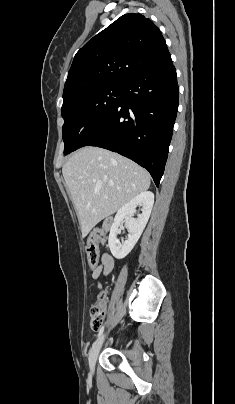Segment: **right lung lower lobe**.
Listing matches in <instances>:
<instances>
[{"instance_id":"right-lung-lower-lobe-1","label":"right lung lower lobe","mask_w":235,"mask_h":404,"mask_svg":"<svg viewBox=\"0 0 235 404\" xmlns=\"http://www.w3.org/2000/svg\"><path fill=\"white\" fill-rule=\"evenodd\" d=\"M179 88L171 56L144 69L123 84L121 101L93 127L76 149L98 146L146 168L156 186L163 175Z\"/></svg>"}]
</instances>
